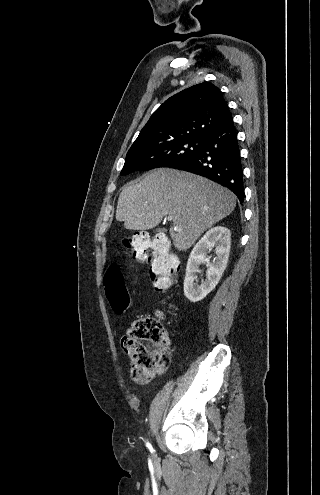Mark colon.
I'll return each mask as SVG.
<instances>
[{
    "mask_svg": "<svg viewBox=\"0 0 320 495\" xmlns=\"http://www.w3.org/2000/svg\"><path fill=\"white\" fill-rule=\"evenodd\" d=\"M122 244L137 261L150 264L151 280L156 290L165 291L172 286L179 267L166 237L151 238L146 232H137L124 238ZM103 286L113 311L117 314L125 312L130 298L118 264L107 268ZM121 347L130 358L131 376L137 384L149 382L169 365V348L161 322L156 317L135 321L121 338Z\"/></svg>",
    "mask_w": 320,
    "mask_h": 495,
    "instance_id": "5ec220e1",
    "label": "colon"
}]
</instances>
